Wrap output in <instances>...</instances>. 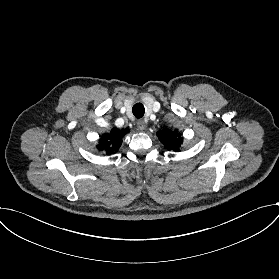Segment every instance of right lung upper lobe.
Returning a JSON list of instances; mask_svg holds the SVG:
<instances>
[{
	"label": "right lung upper lobe",
	"instance_id": "obj_1",
	"mask_svg": "<svg viewBox=\"0 0 279 279\" xmlns=\"http://www.w3.org/2000/svg\"><path fill=\"white\" fill-rule=\"evenodd\" d=\"M128 131V129L119 130L117 128H113L110 133H106L101 136L97 148L107 154H112L119 149L122 143V138Z\"/></svg>",
	"mask_w": 279,
	"mask_h": 279
}]
</instances>
